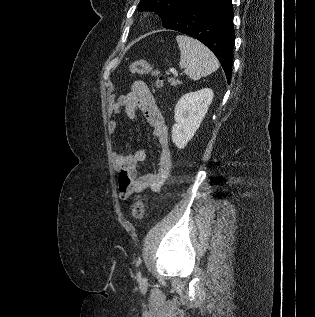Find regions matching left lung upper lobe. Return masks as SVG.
<instances>
[{"label":"left lung upper lobe","mask_w":315,"mask_h":317,"mask_svg":"<svg viewBox=\"0 0 315 317\" xmlns=\"http://www.w3.org/2000/svg\"><path fill=\"white\" fill-rule=\"evenodd\" d=\"M196 0H141L139 11H156L162 16L163 26L170 28L178 23Z\"/></svg>","instance_id":"obj_1"}]
</instances>
